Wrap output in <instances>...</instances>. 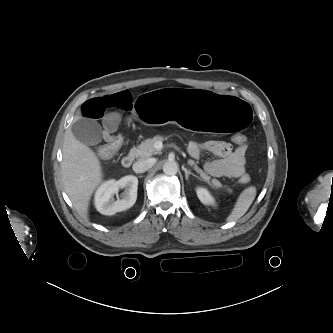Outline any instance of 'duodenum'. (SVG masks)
I'll return each instance as SVG.
<instances>
[{"label":"duodenum","mask_w":333,"mask_h":333,"mask_svg":"<svg viewBox=\"0 0 333 333\" xmlns=\"http://www.w3.org/2000/svg\"><path fill=\"white\" fill-rule=\"evenodd\" d=\"M134 161V156L132 154H127L123 159H122V165L125 168H128L132 165Z\"/></svg>","instance_id":"1"}]
</instances>
